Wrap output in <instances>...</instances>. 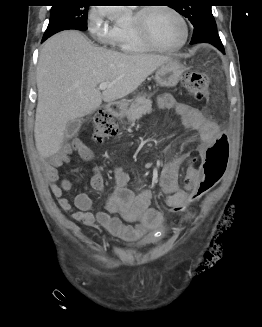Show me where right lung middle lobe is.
I'll return each instance as SVG.
<instances>
[{"label":"right lung middle lobe","mask_w":262,"mask_h":327,"mask_svg":"<svg viewBox=\"0 0 262 327\" xmlns=\"http://www.w3.org/2000/svg\"><path fill=\"white\" fill-rule=\"evenodd\" d=\"M52 6L48 27L43 39L67 29L85 31L87 29L88 6L79 5L78 0H56Z\"/></svg>","instance_id":"right-lung-middle-lobe-1"}]
</instances>
